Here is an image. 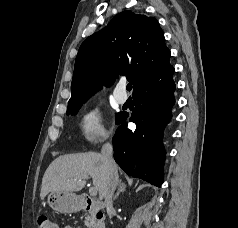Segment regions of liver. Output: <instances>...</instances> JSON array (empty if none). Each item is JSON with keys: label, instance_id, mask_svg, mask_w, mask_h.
Returning <instances> with one entry per match:
<instances>
[{"label": "liver", "instance_id": "6515ba94", "mask_svg": "<svg viewBox=\"0 0 238 228\" xmlns=\"http://www.w3.org/2000/svg\"><path fill=\"white\" fill-rule=\"evenodd\" d=\"M89 176L93 179L99 198L103 199L108 170L102 154L88 152L59 156L44 173L40 197L43 200L51 192L80 191L86 184L85 177Z\"/></svg>", "mask_w": 238, "mask_h": 228}]
</instances>
